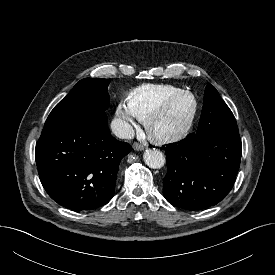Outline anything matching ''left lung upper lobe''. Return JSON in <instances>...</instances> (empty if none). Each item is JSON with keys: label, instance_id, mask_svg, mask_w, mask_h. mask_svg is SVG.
I'll return each instance as SVG.
<instances>
[{"label": "left lung upper lobe", "instance_id": "left-lung-upper-lobe-1", "mask_svg": "<svg viewBox=\"0 0 275 275\" xmlns=\"http://www.w3.org/2000/svg\"><path fill=\"white\" fill-rule=\"evenodd\" d=\"M196 134L239 135L233 113L212 85L205 88L202 114Z\"/></svg>", "mask_w": 275, "mask_h": 275}]
</instances>
